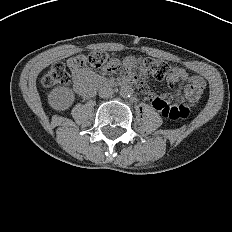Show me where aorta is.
Returning <instances> with one entry per match:
<instances>
[{
  "instance_id": "aorta-1",
  "label": "aorta",
  "mask_w": 232,
  "mask_h": 232,
  "mask_svg": "<svg viewBox=\"0 0 232 232\" xmlns=\"http://www.w3.org/2000/svg\"><path fill=\"white\" fill-rule=\"evenodd\" d=\"M119 93L124 98L130 97L133 95V88L130 85H123Z\"/></svg>"
}]
</instances>
